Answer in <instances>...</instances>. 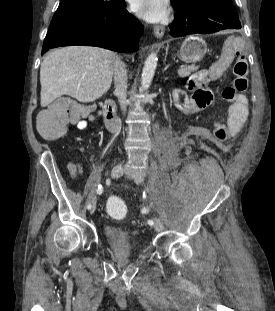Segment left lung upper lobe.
Returning a JSON list of instances; mask_svg holds the SVG:
<instances>
[{"mask_svg": "<svg viewBox=\"0 0 275 311\" xmlns=\"http://www.w3.org/2000/svg\"><path fill=\"white\" fill-rule=\"evenodd\" d=\"M196 1H200V0H171L172 3L180 7H186V6L192 5ZM206 1H213V2H218V3L228 4L232 6L234 10H236L235 6L232 3V0H206Z\"/></svg>", "mask_w": 275, "mask_h": 311, "instance_id": "1", "label": "left lung upper lobe"}]
</instances>
